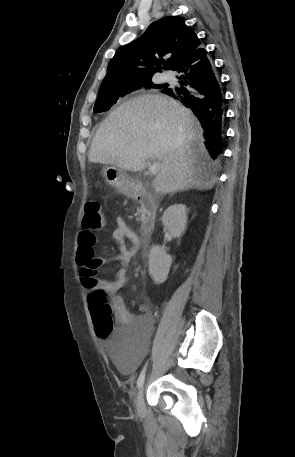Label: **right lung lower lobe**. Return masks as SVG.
<instances>
[{
    "label": "right lung lower lobe",
    "instance_id": "right-lung-lower-lobe-1",
    "mask_svg": "<svg viewBox=\"0 0 295 457\" xmlns=\"http://www.w3.org/2000/svg\"><path fill=\"white\" fill-rule=\"evenodd\" d=\"M181 72L180 87L165 88L162 92L180 100L191 108L201 122L205 144L213 158L223 150V96L207 51L197 48L174 68Z\"/></svg>",
    "mask_w": 295,
    "mask_h": 457
}]
</instances>
